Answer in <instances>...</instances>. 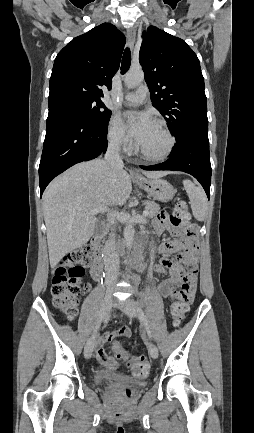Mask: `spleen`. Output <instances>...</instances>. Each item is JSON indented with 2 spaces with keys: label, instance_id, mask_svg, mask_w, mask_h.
Masks as SVG:
<instances>
[{
  "label": "spleen",
  "instance_id": "1",
  "mask_svg": "<svg viewBox=\"0 0 254 433\" xmlns=\"http://www.w3.org/2000/svg\"><path fill=\"white\" fill-rule=\"evenodd\" d=\"M183 185L189 197L194 218L204 221L207 214V198L204 190L190 180H184Z\"/></svg>",
  "mask_w": 254,
  "mask_h": 433
}]
</instances>
